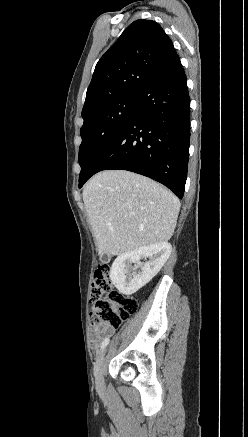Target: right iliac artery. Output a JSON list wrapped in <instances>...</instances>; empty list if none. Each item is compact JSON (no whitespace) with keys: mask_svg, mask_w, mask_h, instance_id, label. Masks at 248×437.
<instances>
[{"mask_svg":"<svg viewBox=\"0 0 248 437\" xmlns=\"http://www.w3.org/2000/svg\"><path fill=\"white\" fill-rule=\"evenodd\" d=\"M109 343V337L105 338L101 345V350H103Z\"/></svg>","mask_w":248,"mask_h":437,"instance_id":"1","label":"right iliac artery"}]
</instances>
